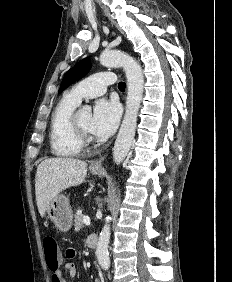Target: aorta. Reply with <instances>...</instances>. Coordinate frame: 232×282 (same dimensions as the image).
Segmentation results:
<instances>
[{
	"mask_svg": "<svg viewBox=\"0 0 232 282\" xmlns=\"http://www.w3.org/2000/svg\"><path fill=\"white\" fill-rule=\"evenodd\" d=\"M100 62L105 67H123L127 78L126 110L113 148V160L118 165L127 156L134 140L137 115L143 97L144 76L140 64L123 51L106 50L100 55ZM85 109L89 110V107H85ZM110 221L111 217H107L95 252L98 262L104 270H108L110 267L108 253L111 234Z\"/></svg>",
	"mask_w": 232,
	"mask_h": 282,
	"instance_id": "762f6f07",
	"label": "aorta"
}]
</instances>
